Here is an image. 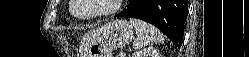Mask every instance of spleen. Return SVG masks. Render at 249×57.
Returning a JSON list of instances; mask_svg holds the SVG:
<instances>
[{
    "mask_svg": "<svg viewBox=\"0 0 249 57\" xmlns=\"http://www.w3.org/2000/svg\"><path fill=\"white\" fill-rule=\"evenodd\" d=\"M130 23L134 26L137 38L133 43L135 49H141L152 43L164 42L163 34L153 25L136 18H130Z\"/></svg>",
    "mask_w": 249,
    "mask_h": 57,
    "instance_id": "obj_1",
    "label": "spleen"
}]
</instances>
